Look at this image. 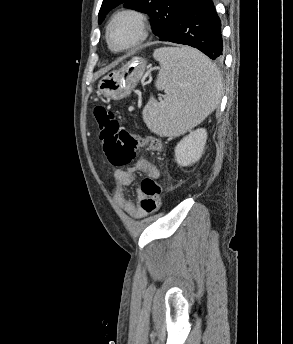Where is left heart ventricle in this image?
<instances>
[{
  "mask_svg": "<svg viewBox=\"0 0 293 344\" xmlns=\"http://www.w3.org/2000/svg\"><path fill=\"white\" fill-rule=\"evenodd\" d=\"M110 34L113 45L122 47L132 43L136 39L138 31L133 20L122 18L113 25Z\"/></svg>",
  "mask_w": 293,
  "mask_h": 344,
  "instance_id": "left-heart-ventricle-1",
  "label": "left heart ventricle"
}]
</instances>
